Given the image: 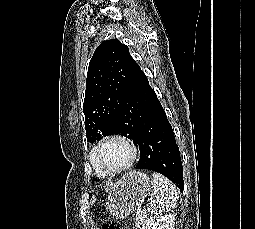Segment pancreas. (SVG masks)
I'll return each mask as SVG.
<instances>
[{
    "label": "pancreas",
    "mask_w": 255,
    "mask_h": 229,
    "mask_svg": "<svg viewBox=\"0 0 255 229\" xmlns=\"http://www.w3.org/2000/svg\"><path fill=\"white\" fill-rule=\"evenodd\" d=\"M145 218H146V212L145 211H141V212L136 213L135 226L138 229H141V225L144 223Z\"/></svg>",
    "instance_id": "obj_1"
}]
</instances>
